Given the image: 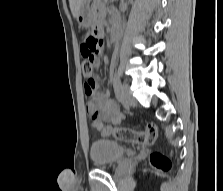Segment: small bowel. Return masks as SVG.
Returning a JSON list of instances; mask_svg holds the SVG:
<instances>
[{
    "label": "small bowel",
    "instance_id": "obj_1",
    "mask_svg": "<svg viewBox=\"0 0 223 191\" xmlns=\"http://www.w3.org/2000/svg\"><path fill=\"white\" fill-rule=\"evenodd\" d=\"M93 34L99 38L103 37V27L101 23H97L94 27ZM92 85L85 82L84 93L89 98L86 104V111L91 115L93 126L97 129L103 128V123L108 122L118 125L124 118L118 104L111 100L108 92L98 93L97 83L93 80Z\"/></svg>",
    "mask_w": 223,
    "mask_h": 191
}]
</instances>
